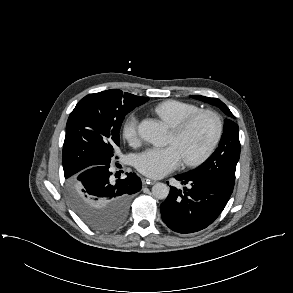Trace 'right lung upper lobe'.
<instances>
[{"instance_id": "right-lung-upper-lobe-1", "label": "right lung upper lobe", "mask_w": 293, "mask_h": 293, "mask_svg": "<svg viewBox=\"0 0 293 293\" xmlns=\"http://www.w3.org/2000/svg\"><path fill=\"white\" fill-rule=\"evenodd\" d=\"M142 100L144 101H148V98L147 97H140Z\"/></svg>"}]
</instances>
